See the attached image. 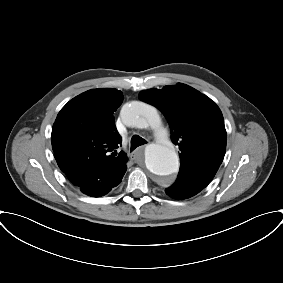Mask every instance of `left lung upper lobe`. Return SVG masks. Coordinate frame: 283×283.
<instances>
[{"mask_svg":"<svg viewBox=\"0 0 283 283\" xmlns=\"http://www.w3.org/2000/svg\"><path fill=\"white\" fill-rule=\"evenodd\" d=\"M139 97L167 118L171 138L179 146L178 176L208 185L226 151V130L219 107L194 88L177 84L143 90Z\"/></svg>","mask_w":283,"mask_h":283,"instance_id":"left-lung-upper-lobe-1","label":"left lung upper lobe"}]
</instances>
